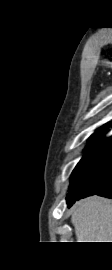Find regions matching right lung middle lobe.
<instances>
[{
  "label": "right lung middle lobe",
  "mask_w": 112,
  "mask_h": 270,
  "mask_svg": "<svg viewBox=\"0 0 112 270\" xmlns=\"http://www.w3.org/2000/svg\"><path fill=\"white\" fill-rule=\"evenodd\" d=\"M107 132L108 129L102 127L90 137L87 151L72 172L66 201L75 200L85 193L82 185L83 177L91 173L102 162L112 146V136L104 137Z\"/></svg>",
  "instance_id": "right-lung-middle-lobe-1"
}]
</instances>
